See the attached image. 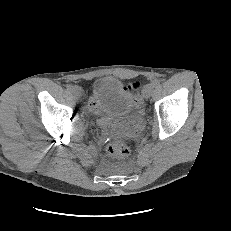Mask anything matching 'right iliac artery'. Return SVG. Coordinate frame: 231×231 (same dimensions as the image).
Masks as SVG:
<instances>
[{
    "instance_id": "obj_1",
    "label": "right iliac artery",
    "mask_w": 231,
    "mask_h": 231,
    "mask_svg": "<svg viewBox=\"0 0 231 231\" xmlns=\"http://www.w3.org/2000/svg\"><path fill=\"white\" fill-rule=\"evenodd\" d=\"M66 87H67V90L70 92L73 91L74 89V87L71 84H68Z\"/></svg>"
}]
</instances>
